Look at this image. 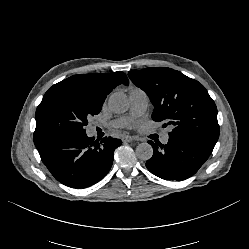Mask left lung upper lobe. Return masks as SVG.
Here are the masks:
<instances>
[{
    "mask_svg": "<svg viewBox=\"0 0 249 249\" xmlns=\"http://www.w3.org/2000/svg\"><path fill=\"white\" fill-rule=\"evenodd\" d=\"M132 82L149 96L152 119L171 125L170 133H189L218 140L217 108L205 87L179 71L165 67L128 73Z\"/></svg>",
    "mask_w": 249,
    "mask_h": 249,
    "instance_id": "left-lung-upper-lobe-1",
    "label": "left lung upper lobe"
}]
</instances>
